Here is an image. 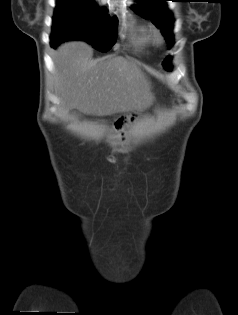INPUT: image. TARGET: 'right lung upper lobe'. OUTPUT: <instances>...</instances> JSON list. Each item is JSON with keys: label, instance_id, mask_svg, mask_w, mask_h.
<instances>
[{"label": "right lung upper lobe", "instance_id": "cb5924a9", "mask_svg": "<svg viewBox=\"0 0 238 315\" xmlns=\"http://www.w3.org/2000/svg\"><path fill=\"white\" fill-rule=\"evenodd\" d=\"M80 1H87V2H92V3H94L93 0H80ZM94 4H95V3H94Z\"/></svg>", "mask_w": 238, "mask_h": 315}]
</instances>
